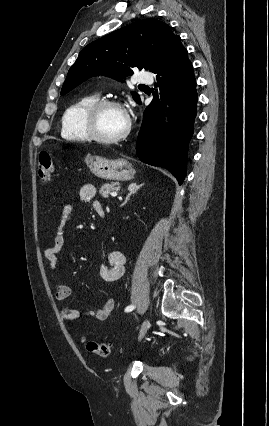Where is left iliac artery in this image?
<instances>
[{
	"mask_svg": "<svg viewBox=\"0 0 269 426\" xmlns=\"http://www.w3.org/2000/svg\"><path fill=\"white\" fill-rule=\"evenodd\" d=\"M134 308H135V306H134V305H129V306H127V307L125 308V312H130V311H132Z\"/></svg>",
	"mask_w": 269,
	"mask_h": 426,
	"instance_id": "obj_1",
	"label": "left iliac artery"
}]
</instances>
